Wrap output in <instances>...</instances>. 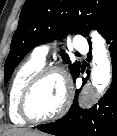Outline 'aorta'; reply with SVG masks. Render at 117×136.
<instances>
[{
    "mask_svg": "<svg viewBox=\"0 0 117 136\" xmlns=\"http://www.w3.org/2000/svg\"><path fill=\"white\" fill-rule=\"evenodd\" d=\"M92 37V63L91 81L101 94L108 86L111 77V63L108 58L106 42L96 31L91 33Z\"/></svg>",
    "mask_w": 117,
    "mask_h": 136,
    "instance_id": "1",
    "label": "aorta"
}]
</instances>
